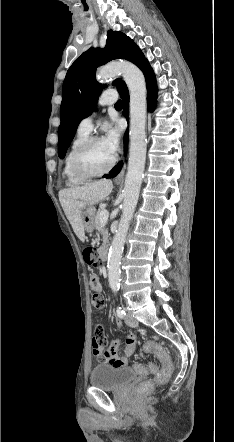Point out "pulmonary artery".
I'll list each match as a JSON object with an SVG mask.
<instances>
[{
	"label": "pulmonary artery",
	"mask_w": 234,
	"mask_h": 442,
	"mask_svg": "<svg viewBox=\"0 0 234 442\" xmlns=\"http://www.w3.org/2000/svg\"><path fill=\"white\" fill-rule=\"evenodd\" d=\"M117 96L114 92H104L100 99L99 105H110L116 102ZM94 114H90L83 118L78 125V131L89 134L93 129Z\"/></svg>",
	"instance_id": "1"
}]
</instances>
